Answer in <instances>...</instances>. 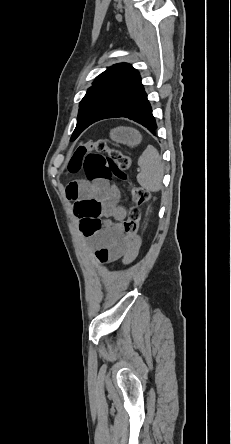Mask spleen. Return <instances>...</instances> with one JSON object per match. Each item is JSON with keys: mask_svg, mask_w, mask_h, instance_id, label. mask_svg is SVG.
Instances as JSON below:
<instances>
[{"mask_svg": "<svg viewBox=\"0 0 231 444\" xmlns=\"http://www.w3.org/2000/svg\"><path fill=\"white\" fill-rule=\"evenodd\" d=\"M141 171L137 175L138 183L148 191L157 192L162 187L164 167L157 149L148 145L138 159Z\"/></svg>", "mask_w": 231, "mask_h": 444, "instance_id": "spleen-1", "label": "spleen"}]
</instances>
